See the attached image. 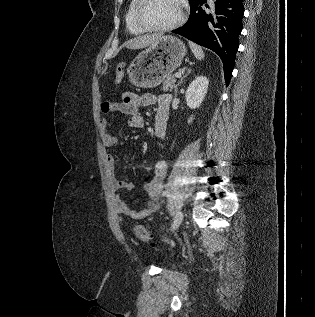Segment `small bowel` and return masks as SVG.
Listing matches in <instances>:
<instances>
[{
  "mask_svg": "<svg viewBox=\"0 0 315 317\" xmlns=\"http://www.w3.org/2000/svg\"><path fill=\"white\" fill-rule=\"evenodd\" d=\"M171 97L168 94L155 95L146 93L137 95L125 93L121 101H111L102 105V111L106 114L123 113L129 116L128 126L135 129L144 127V118L140 113V108L144 106H155L154 131L158 139L164 138L166 134L167 121L169 117V105ZM107 120H101L100 137L104 146L112 147L118 144L113 134L106 129ZM129 157L124 156L123 161H128ZM109 173L112 177V190L116 194L115 205L117 211L131 219H143L156 213L160 208L159 198L163 192L164 179L167 175L168 165L163 160L156 161L152 166L154 178L144 185V190L149 196L146 206L141 211L130 208L120 197L122 190H132L135 184L132 181L118 180L114 177L115 159L112 155L106 158Z\"/></svg>",
  "mask_w": 315,
  "mask_h": 317,
  "instance_id": "small-bowel-1",
  "label": "small bowel"
}]
</instances>
